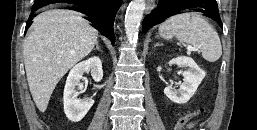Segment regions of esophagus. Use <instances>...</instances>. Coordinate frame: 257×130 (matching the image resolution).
Wrapping results in <instances>:
<instances>
[{
    "mask_svg": "<svg viewBox=\"0 0 257 130\" xmlns=\"http://www.w3.org/2000/svg\"><path fill=\"white\" fill-rule=\"evenodd\" d=\"M155 7V0H147L146 2V13H149Z\"/></svg>",
    "mask_w": 257,
    "mask_h": 130,
    "instance_id": "34e87169",
    "label": "esophagus"
}]
</instances>
